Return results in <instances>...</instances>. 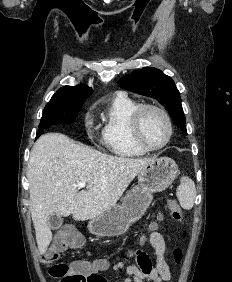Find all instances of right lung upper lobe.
<instances>
[{"label":"right lung upper lobe","instance_id":"1","mask_svg":"<svg viewBox=\"0 0 232 282\" xmlns=\"http://www.w3.org/2000/svg\"><path fill=\"white\" fill-rule=\"evenodd\" d=\"M92 89L86 85H77L74 87L65 86L60 88L51 100H69L77 98H88L92 94Z\"/></svg>","mask_w":232,"mask_h":282}]
</instances>
